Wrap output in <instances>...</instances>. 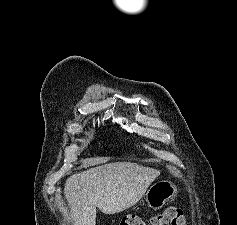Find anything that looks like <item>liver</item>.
I'll list each match as a JSON object with an SVG mask.
<instances>
[{
  "instance_id": "obj_1",
  "label": "liver",
  "mask_w": 237,
  "mask_h": 225,
  "mask_svg": "<svg viewBox=\"0 0 237 225\" xmlns=\"http://www.w3.org/2000/svg\"><path fill=\"white\" fill-rule=\"evenodd\" d=\"M160 175L130 162L105 164L70 176L64 187L74 225H96V207L116 214L134 206Z\"/></svg>"
}]
</instances>
